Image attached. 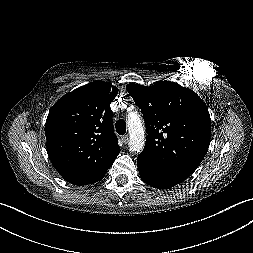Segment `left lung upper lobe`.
<instances>
[{"instance_id": "left-lung-upper-lobe-1", "label": "left lung upper lobe", "mask_w": 253, "mask_h": 253, "mask_svg": "<svg viewBox=\"0 0 253 253\" xmlns=\"http://www.w3.org/2000/svg\"><path fill=\"white\" fill-rule=\"evenodd\" d=\"M126 88L142 111L148 134L140 154L159 167L194 172L210 145L206 104L192 90L170 81L149 87L130 83Z\"/></svg>"}]
</instances>
